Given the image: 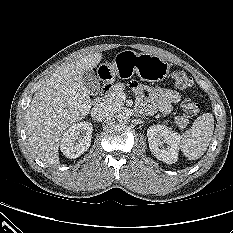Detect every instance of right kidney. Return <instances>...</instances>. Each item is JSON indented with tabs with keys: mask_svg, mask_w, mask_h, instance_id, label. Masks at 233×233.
I'll use <instances>...</instances> for the list:
<instances>
[{
	"mask_svg": "<svg viewBox=\"0 0 233 233\" xmlns=\"http://www.w3.org/2000/svg\"><path fill=\"white\" fill-rule=\"evenodd\" d=\"M93 127L89 122L75 123L64 132L60 139L61 152L75 159L88 150L91 144Z\"/></svg>",
	"mask_w": 233,
	"mask_h": 233,
	"instance_id": "ca27d5eb",
	"label": "right kidney"
}]
</instances>
